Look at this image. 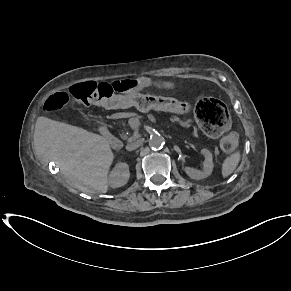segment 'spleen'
I'll list each match as a JSON object with an SVG mask.
<instances>
[{"instance_id":"spleen-1","label":"spleen","mask_w":291,"mask_h":291,"mask_svg":"<svg viewBox=\"0 0 291 291\" xmlns=\"http://www.w3.org/2000/svg\"><path fill=\"white\" fill-rule=\"evenodd\" d=\"M241 155L239 151H236L225 158L222 164V176L224 178L231 175L234 170L237 168Z\"/></svg>"}]
</instances>
